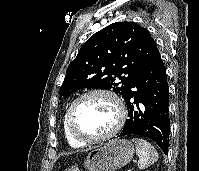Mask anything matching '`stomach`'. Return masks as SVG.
I'll return each instance as SVG.
<instances>
[{
	"label": "stomach",
	"mask_w": 199,
	"mask_h": 171,
	"mask_svg": "<svg viewBox=\"0 0 199 171\" xmlns=\"http://www.w3.org/2000/svg\"><path fill=\"white\" fill-rule=\"evenodd\" d=\"M134 154L133 144L126 139H114L88 153L84 167L88 171H115L126 166ZM65 171H80L72 165Z\"/></svg>",
	"instance_id": "0dacf381"
}]
</instances>
